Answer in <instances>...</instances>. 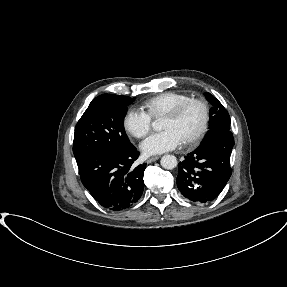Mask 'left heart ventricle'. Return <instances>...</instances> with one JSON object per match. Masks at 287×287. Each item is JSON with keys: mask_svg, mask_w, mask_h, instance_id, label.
<instances>
[{"mask_svg": "<svg viewBox=\"0 0 287 287\" xmlns=\"http://www.w3.org/2000/svg\"><path fill=\"white\" fill-rule=\"evenodd\" d=\"M200 119V108L195 104H190L176 118L164 116L161 121V128H172L176 130L182 140L185 141L196 131L199 126Z\"/></svg>", "mask_w": 287, "mask_h": 287, "instance_id": "1", "label": "left heart ventricle"}]
</instances>
